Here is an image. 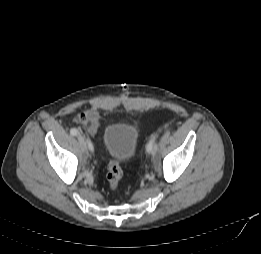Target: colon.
Masks as SVG:
<instances>
[{
	"label": "colon",
	"instance_id": "1",
	"mask_svg": "<svg viewBox=\"0 0 261 254\" xmlns=\"http://www.w3.org/2000/svg\"><path fill=\"white\" fill-rule=\"evenodd\" d=\"M122 176H123V170H122L120 162L116 159L110 160L107 165L106 178H107L109 187L112 190H115L118 188L119 183L122 179Z\"/></svg>",
	"mask_w": 261,
	"mask_h": 254
}]
</instances>
